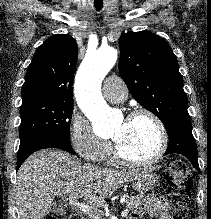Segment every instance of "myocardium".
Wrapping results in <instances>:
<instances>
[{
  "instance_id": "1",
  "label": "myocardium",
  "mask_w": 211,
  "mask_h": 219,
  "mask_svg": "<svg viewBox=\"0 0 211 219\" xmlns=\"http://www.w3.org/2000/svg\"><path fill=\"white\" fill-rule=\"evenodd\" d=\"M142 116L150 118L155 123L156 127L158 128V131L160 134L159 147L156 153L152 157L148 159H144V160H135V159L126 157L119 149L117 143L113 140L112 147H113L114 158L120 164H123L126 166H132V167L150 166L152 164L157 163L164 156L168 148L169 137H168L166 126L164 122L161 120V118L158 115H156L154 112L148 109H136L132 111L131 113H129L125 120L131 121V120H134Z\"/></svg>"
}]
</instances>
